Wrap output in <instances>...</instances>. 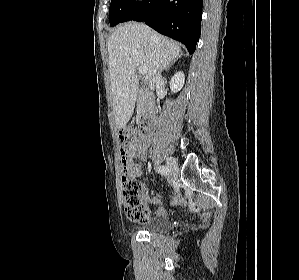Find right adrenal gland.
Returning a JSON list of instances; mask_svg holds the SVG:
<instances>
[{"label":"right adrenal gland","instance_id":"2a0ac1e0","mask_svg":"<svg viewBox=\"0 0 299 280\" xmlns=\"http://www.w3.org/2000/svg\"><path fill=\"white\" fill-rule=\"evenodd\" d=\"M173 62H175V61H172V62L167 66L166 70H168V69L171 67V65L173 64Z\"/></svg>","mask_w":299,"mask_h":280}]
</instances>
